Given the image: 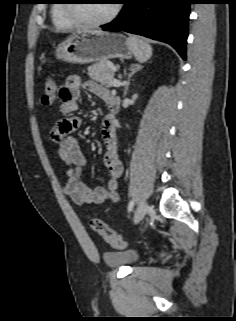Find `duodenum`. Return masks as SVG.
<instances>
[{
	"label": "duodenum",
	"instance_id": "1",
	"mask_svg": "<svg viewBox=\"0 0 236 321\" xmlns=\"http://www.w3.org/2000/svg\"><path fill=\"white\" fill-rule=\"evenodd\" d=\"M108 108L112 114H116L120 109V100L111 96L108 101Z\"/></svg>",
	"mask_w": 236,
	"mask_h": 321
}]
</instances>
